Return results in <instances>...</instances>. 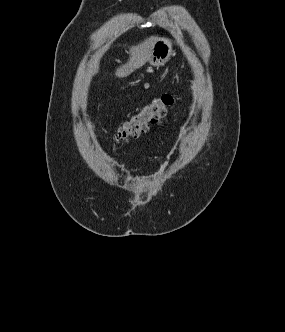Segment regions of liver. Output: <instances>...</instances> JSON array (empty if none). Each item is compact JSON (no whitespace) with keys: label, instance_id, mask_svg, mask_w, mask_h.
Returning <instances> with one entry per match:
<instances>
[{"label":"liver","instance_id":"obj_1","mask_svg":"<svg viewBox=\"0 0 285 332\" xmlns=\"http://www.w3.org/2000/svg\"><path fill=\"white\" fill-rule=\"evenodd\" d=\"M158 38L151 36L145 39L143 42L131 46L129 49V60L128 62L119 67L115 75L119 78H124L130 75L134 70L142 67L147 61L150 60L153 46ZM102 55V51L97 52L89 61L87 74L93 76L99 71V61Z\"/></svg>","mask_w":285,"mask_h":332}]
</instances>
